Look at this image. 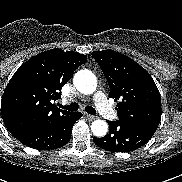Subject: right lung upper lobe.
Instances as JSON below:
<instances>
[{
    "label": "right lung upper lobe",
    "instance_id": "obj_1",
    "mask_svg": "<svg viewBox=\"0 0 182 182\" xmlns=\"http://www.w3.org/2000/svg\"><path fill=\"white\" fill-rule=\"evenodd\" d=\"M87 57L54 48L26 61L12 76L1 100V114L15 137L33 128L50 124L70 113L56 106L61 88Z\"/></svg>",
    "mask_w": 182,
    "mask_h": 182
}]
</instances>
